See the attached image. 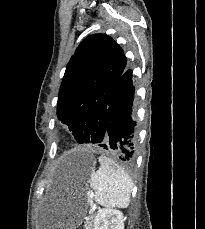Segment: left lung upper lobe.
I'll return each instance as SVG.
<instances>
[{"label": "left lung upper lobe", "instance_id": "obj_1", "mask_svg": "<svg viewBox=\"0 0 205 229\" xmlns=\"http://www.w3.org/2000/svg\"><path fill=\"white\" fill-rule=\"evenodd\" d=\"M126 64L123 50L106 34L88 36L71 57L60 86L57 116L78 143L93 144L88 130L103 124L107 102Z\"/></svg>", "mask_w": 205, "mask_h": 229}]
</instances>
